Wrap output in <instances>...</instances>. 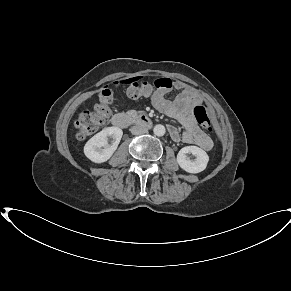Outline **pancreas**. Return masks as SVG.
<instances>
[{
  "instance_id": "cf45deb5",
  "label": "pancreas",
  "mask_w": 291,
  "mask_h": 291,
  "mask_svg": "<svg viewBox=\"0 0 291 291\" xmlns=\"http://www.w3.org/2000/svg\"><path fill=\"white\" fill-rule=\"evenodd\" d=\"M126 113L129 117H131L133 119H135L139 116V113H137L135 110H129Z\"/></svg>"
}]
</instances>
